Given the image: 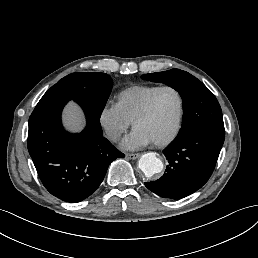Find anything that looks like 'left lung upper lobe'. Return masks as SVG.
Masks as SVG:
<instances>
[{
	"label": "left lung upper lobe",
	"instance_id": "left-lung-upper-lobe-1",
	"mask_svg": "<svg viewBox=\"0 0 258 258\" xmlns=\"http://www.w3.org/2000/svg\"><path fill=\"white\" fill-rule=\"evenodd\" d=\"M142 79L161 82L179 92L183 100L182 128L177 140L203 128L224 130L221 107L216 97L196 77L180 69L144 74Z\"/></svg>",
	"mask_w": 258,
	"mask_h": 258
}]
</instances>
